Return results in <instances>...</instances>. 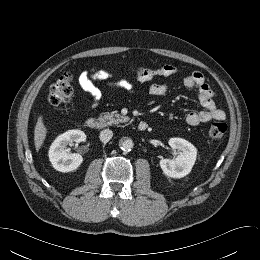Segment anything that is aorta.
<instances>
[{"instance_id":"762f6f07","label":"aorta","mask_w":260,"mask_h":260,"mask_svg":"<svg viewBox=\"0 0 260 260\" xmlns=\"http://www.w3.org/2000/svg\"><path fill=\"white\" fill-rule=\"evenodd\" d=\"M119 146L123 151H131L134 147V143L130 138H123L120 140Z\"/></svg>"}]
</instances>
